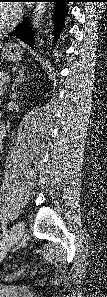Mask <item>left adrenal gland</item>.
Here are the masks:
<instances>
[{
    "label": "left adrenal gland",
    "instance_id": "obj_1",
    "mask_svg": "<svg viewBox=\"0 0 107 297\" xmlns=\"http://www.w3.org/2000/svg\"><path fill=\"white\" fill-rule=\"evenodd\" d=\"M24 67H22V69H20L19 71H18V76L15 78V81H14V84H13V87H12V90L14 91V88L19 84V83H21L23 80H24V78H25V76H24Z\"/></svg>",
    "mask_w": 107,
    "mask_h": 297
}]
</instances>
